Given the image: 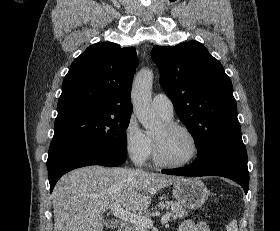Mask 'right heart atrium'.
Segmentation results:
<instances>
[{
	"label": "right heart atrium",
	"instance_id": "obj_1",
	"mask_svg": "<svg viewBox=\"0 0 280 231\" xmlns=\"http://www.w3.org/2000/svg\"><path fill=\"white\" fill-rule=\"evenodd\" d=\"M123 145L126 153L138 163L145 162L153 150L150 138L139 128L134 117H129L125 124Z\"/></svg>",
	"mask_w": 280,
	"mask_h": 231
}]
</instances>
